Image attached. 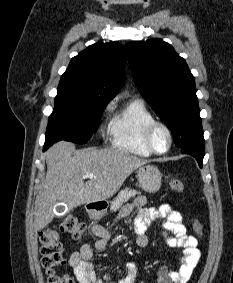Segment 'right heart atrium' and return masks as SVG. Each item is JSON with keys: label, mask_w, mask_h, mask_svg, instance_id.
I'll use <instances>...</instances> for the list:
<instances>
[{"label": "right heart atrium", "mask_w": 233, "mask_h": 283, "mask_svg": "<svg viewBox=\"0 0 233 283\" xmlns=\"http://www.w3.org/2000/svg\"><path fill=\"white\" fill-rule=\"evenodd\" d=\"M111 109H112V104L108 103L103 109V114L109 113L111 111Z\"/></svg>", "instance_id": "d8ad5b80"}]
</instances>
